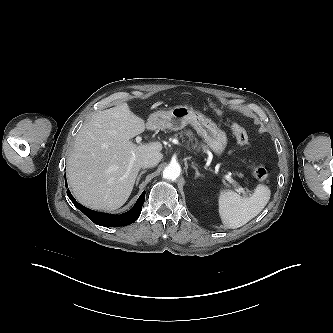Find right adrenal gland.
I'll return each instance as SVG.
<instances>
[{
    "label": "right adrenal gland",
    "mask_w": 333,
    "mask_h": 333,
    "mask_svg": "<svg viewBox=\"0 0 333 333\" xmlns=\"http://www.w3.org/2000/svg\"><path fill=\"white\" fill-rule=\"evenodd\" d=\"M145 172H146V170H143V171H141L140 174L138 175L137 180H136V186L138 185L141 176H142Z\"/></svg>",
    "instance_id": "1"
}]
</instances>
